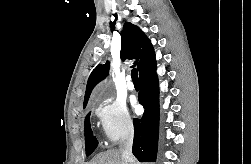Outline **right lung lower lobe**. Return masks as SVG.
Listing matches in <instances>:
<instances>
[{"mask_svg":"<svg viewBox=\"0 0 251 164\" xmlns=\"http://www.w3.org/2000/svg\"><path fill=\"white\" fill-rule=\"evenodd\" d=\"M138 98L144 106L142 118L134 119L133 154L140 162H155L159 131V86L156 65L140 75Z\"/></svg>","mask_w":251,"mask_h":164,"instance_id":"98d812e1","label":"right lung lower lobe"}]
</instances>
